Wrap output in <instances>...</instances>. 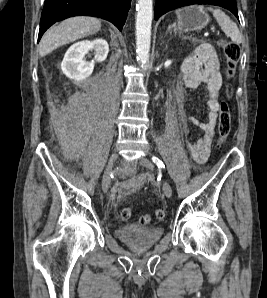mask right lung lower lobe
<instances>
[{"label": "right lung lower lobe", "mask_w": 267, "mask_h": 298, "mask_svg": "<svg viewBox=\"0 0 267 298\" xmlns=\"http://www.w3.org/2000/svg\"><path fill=\"white\" fill-rule=\"evenodd\" d=\"M131 0H45L38 41L55 22L73 16H93L112 22L120 31Z\"/></svg>", "instance_id": "obj_1"}]
</instances>
